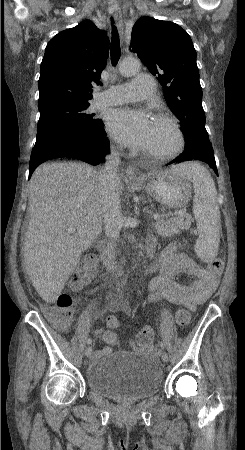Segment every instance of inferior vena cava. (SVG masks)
Returning a JSON list of instances; mask_svg holds the SVG:
<instances>
[{"instance_id": "602c4592", "label": "inferior vena cava", "mask_w": 245, "mask_h": 450, "mask_svg": "<svg viewBox=\"0 0 245 450\" xmlns=\"http://www.w3.org/2000/svg\"><path fill=\"white\" fill-rule=\"evenodd\" d=\"M106 160L105 167L99 174V196L103 209L105 234L116 241L122 227L119 177L117 175L120 154L117 151H111Z\"/></svg>"}]
</instances>
